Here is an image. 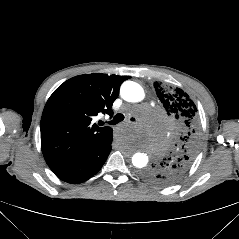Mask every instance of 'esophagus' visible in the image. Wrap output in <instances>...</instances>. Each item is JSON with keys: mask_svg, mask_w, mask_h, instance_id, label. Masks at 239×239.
Returning a JSON list of instances; mask_svg holds the SVG:
<instances>
[{"mask_svg": "<svg viewBox=\"0 0 239 239\" xmlns=\"http://www.w3.org/2000/svg\"><path fill=\"white\" fill-rule=\"evenodd\" d=\"M112 136H113L114 138H119V137L121 136V131H120L119 129H114V130L112 131Z\"/></svg>", "mask_w": 239, "mask_h": 239, "instance_id": "esophagus-1", "label": "esophagus"}]
</instances>
